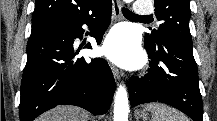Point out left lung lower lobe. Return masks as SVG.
<instances>
[{
    "mask_svg": "<svg viewBox=\"0 0 217 121\" xmlns=\"http://www.w3.org/2000/svg\"><path fill=\"white\" fill-rule=\"evenodd\" d=\"M145 48L151 68L144 77L129 80L131 107L158 101L179 109L194 121H203L198 69L192 46L167 37L157 45L145 41Z\"/></svg>",
    "mask_w": 217,
    "mask_h": 121,
    "instance_id": "left-lung-lower-lobe-1",
    "label": "left lung lower lobe"
}]
</instances>
